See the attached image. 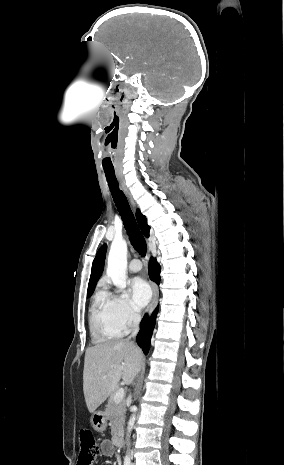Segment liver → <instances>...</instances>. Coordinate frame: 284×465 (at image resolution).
Returning a JSON list of instances; mask_svg holds the SVG:
<instances>
[{
  "mask_svg": "<svg viewBox=\"0 0 284 465\" xmlns=\"http://www.w3.org/2000/svg\"><path fill=\"white\" fill-rule=\"evenodd\" d=\"M143 353L131 341L110 339L85 353L83 391L89 413H94L115 391L120 379L131 385L141 369Z\"/></svg>",
  "mask_w": 284,
  "mask_h": 465,
  "instance_id": "obj_1",
  "label": "liver"
}]
</instances>
